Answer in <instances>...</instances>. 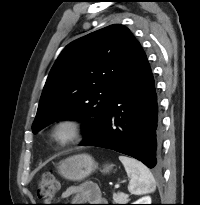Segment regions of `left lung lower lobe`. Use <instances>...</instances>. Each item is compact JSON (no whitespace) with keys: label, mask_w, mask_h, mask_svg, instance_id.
<instances>
[{"label":"left lung lower lobe","mask_w":200,"mask_h":205,"mask_svg":"<svg viewBox=\"0 0 200 205\" xmlns=\"http://www.w3.org/2000/svg\"><path fill=\"white\" fill-rule=\"evenodd\" d=\"M102 127L91 142L129 155L155 168L160 163V121L154 79L147 57L136 42L114 88Z\"/></svg>","instance_id":"left-lung-lower-lobe-1"}]
</instances>
